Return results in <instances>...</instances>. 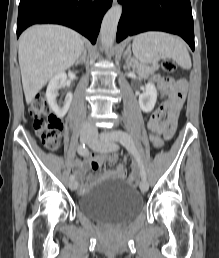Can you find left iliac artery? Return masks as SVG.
<instances>
[{
    "label": "left iliac artery",
    "instance_id": "left-iliac-artery-1",
    "mask_svg": "<svg viewBox=\"0 0 219 258\" xmlns=\"http://www.w3.org/2000/svg\"><path fill=\"white\" fill-rule=\"evenodd\" d=\"M112 140L120 142L135 157L140 168L141 178L146 179V172L142 164L141 158L139 156V153L136 150L132 137L128 133L119 130V131L113 132Z\"/></svg>",
    "mask_w": 219,
    "mask_h": 258
}]
</instances>
